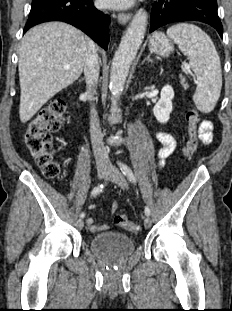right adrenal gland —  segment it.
Wrapping results in <instances>:
<instances>
[{"instance_id":"right-adrenal-gland-1","label":"right adrenal gland","mask_w":232,"mask_h":311,"mask_svg":"<svg viewBox=\"0 0 232 311\" xmlns=\"http://www.w3.org/2000/svg\"><path fill=\"white\" fill-rule=\"evenodd\" d=\"M85 79L84 78H81L79 81H84Z\"/></svg>"}]
</instances>
